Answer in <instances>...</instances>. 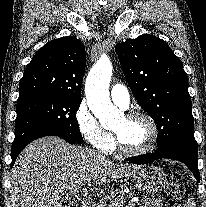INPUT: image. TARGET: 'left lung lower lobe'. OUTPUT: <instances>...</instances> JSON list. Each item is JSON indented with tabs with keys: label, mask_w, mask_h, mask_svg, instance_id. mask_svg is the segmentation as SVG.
<instances>
[{
	"label": "left lung lower lobe",
	"mask_w": 206,
	"mask_h": 207,
	"mask_svg": "<svg viewBox=\"0 0 206 207\" xmlns=\"http://www.w3.org/2000/svg\"><path fill=\"white\" fill-rule=\"evenodd\" d=\"M167 158L174 159L183 162L194 174L195 178L199 181L198 170V150L191 148H174L164 151H156L154 153H148L145 155L130 158V163L134 164H146L151 163L154 160Z\"/></svg>",
	"instance_id": "obj_1"
}]
</instances>
